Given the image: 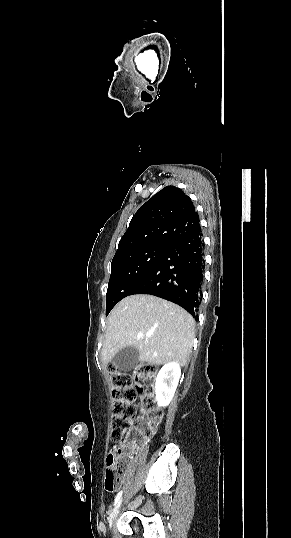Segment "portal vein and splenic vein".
<instances>
[{
  "label": "portal vein and splenic vein",
  "instance_id": "1",
  "mask_svg": "<svg viewBox=\"0 0 291 538\" xmlns=\"http://www.w3.org/2000/svg\"><path fill=\"white\" fill-rule=\"evenodd\" d=\"M138 336H139V337H142V336H143V334H142V333H138Z\"/></svg>",
  "mask_w": 291,
  "mask_h": 538
}]
</instances>
